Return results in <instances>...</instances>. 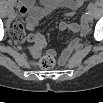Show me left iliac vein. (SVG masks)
Wrapping results in <instances>:
<instances>
[{
  "mask_svg": "<svg viewBox=\"0 0 103 103\" xmlns=\"http://www.w3.org/2000/svg\"><path fill=\"white\" fill-rule=\"evenodd\" d=\"M88 19H89V21H92V20H93V16H92L91 13L88 14Z\"/></svg>",
  "mask_w": 103,
  "mask_h": 103,
  "instance_id": "4c4485c4",
  "label": "left iliac vein"
}]
</instances>
